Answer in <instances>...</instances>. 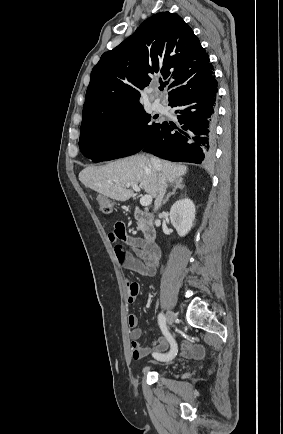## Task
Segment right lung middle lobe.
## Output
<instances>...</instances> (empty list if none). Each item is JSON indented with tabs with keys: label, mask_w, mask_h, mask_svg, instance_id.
<instances>
[{
	"label": "right lung middle lobe",
	"mask_w": 283,
	"mask_h": 434,
	"mask_svg": "<svg viewBox=\"0 0 283 434\" xmlns=\"http://www.w3.org/2000/svg\"><path fill=\"white\" fill-rule=\"evenodd\" d=\"M151 120L143 107H139L80 129V151L93 162L133 155L159 129L161 124L151 123Z\"/></svg>",
	"instance_id": "dd1d6c3e"
}]
</instances>
